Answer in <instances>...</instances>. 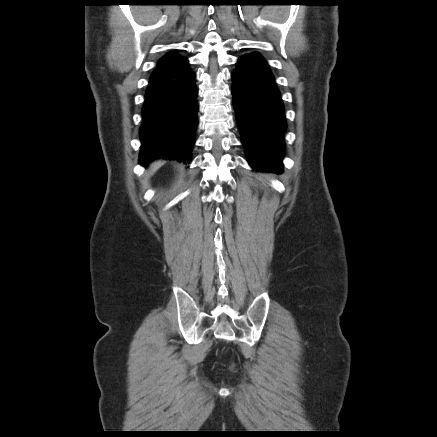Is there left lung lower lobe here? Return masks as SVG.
Returning <instances> with one entry per match:
<instances>
[{"label":"left lung lower lobe","mask_w":437,"mask_h":437,"mask_svg":"<svg viewBox=\"0 0 437 437\" xmlns=\"http://www.w3.org/2000/svg\"><path fill=\"white\" fill-rule=\"evenodd\" d=\"M232 80L233 106L250 166L282 173L287 125L283 101L267 61L257 52L239 57Z\"/></svg>","instance_id":"left-lung-lower-lobe-1"}]
</instances>
